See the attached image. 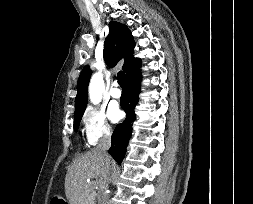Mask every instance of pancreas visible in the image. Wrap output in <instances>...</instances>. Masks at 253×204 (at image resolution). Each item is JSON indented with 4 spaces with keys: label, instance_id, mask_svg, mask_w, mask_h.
Listing matches in <instances>:
<instances>
[{
    "label": "pancreas",
    "instance_id": "pancreas-1",
    "mask_svg": "<svg viewBox=\"0 0 253 204\" xmlns=\"http://www.w3.org/2000/svg\"><path fill=\"white\" fill-rule=\"evenodd\" d=\"M95 184H84L83 187V201L82 204H95L96 197Z\"/></svg>",
    "mask_w": 253,
    "mask_h": 204
}]
</instances>
